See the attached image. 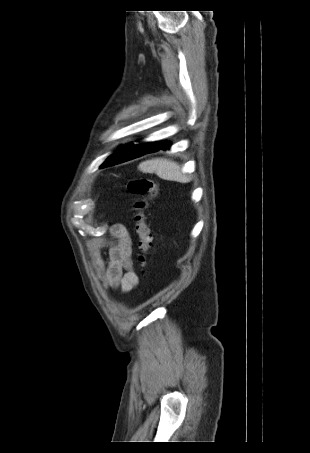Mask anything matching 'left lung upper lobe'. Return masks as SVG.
Segmentation results:
<instances>
[{"label":"left lung upper lobe","instance_id":"1","mask_svg":"<svg viewBox=\"0 0 310 453\" xmlns=\"http://www.w3.org/2000/svg\"><path fill=\"white\" fill-rule=\"evenodd\" d=\"M150 143L147 144H140L138 146L135 145H129V146H124L120 150L116 151L113 155H111L102 165L100 168H104L107 166H112L118 163L125 162L127 160H131L139 151L141 148L149 145Z\"/></svg>","mask_w":310,"mask_h":453}]
</instances>
